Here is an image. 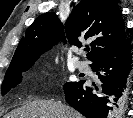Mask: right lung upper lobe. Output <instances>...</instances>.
Wrapping results in <instances>:
<instances>
[{
    "mask_svg": "<svg viewBox=\"0 0 133 118\" xmlns=\"http://www.w3.org/2000/svg\"><path fill=\"white\" fill-rule=\"evenodd\" d=\"M66 36L81 47L78 37L94 38L87 54L93 61L101 53L123 43L127 37L121 11L115 0H82L74 7L65 24ZM64 28L54 12L41 14L19 42L10 67L36 61L40 54L64 38Z\"/></svg>",
    "mask_w": 133,
    "mask_h": 118,
    "instance_id": "right-lung-upper-lobe-1",
    "label": "right lung upper lobe"
}]
</instances>
